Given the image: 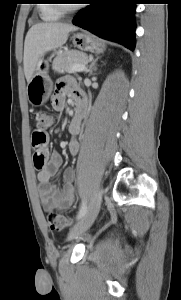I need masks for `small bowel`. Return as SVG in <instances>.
<instances>
[{
    "label": "small bowel",
    "mask_w": 181,
    "mask_h": 300,
    "mask_svg": "<svg viewBox=\"0 0 181 300\" xmlns=\"http://www.w3.org/2000/svg\"><path fill=\"white\" fill-rule=\"evenodd\" d=\"M70 96L75 100L76 105L82 104L84 110L82 114L71 120L68 131L70 139L67 147L71 155H76L79 151V141L77 136L81 131V125L85 116L86 98L77 89L75 82L71 78H61L57 81L55 92L52 98V106L60 111L65 107L66 98ZM44 164L38 169L37 178L39 181V196L45 210H68L74 202L75 170L68 167L63 171V181L61 185L52 183V178L58 173L62 166V159L59 154L53 152L44 153Z\"/></svg>",
    "instance_id": "c3829d8e"
}]
</instances>
